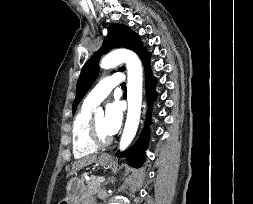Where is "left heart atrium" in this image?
I'll return each mask as SVG.
<instances>
[{"mask_svg":"<svg viewBox=\"0 0 253 204\" xmlns=\"http://www.w3.org/2000/svg\"><path fill=\"white\" fill-rule=\"evenodd\" d=\"M123 111L117 101L111 102L106 106L105 130L109 135L118 132L122 124Z\"/></svg>","mask_w":253,"mask_h":204,"instance_id":"39dd6f15","label":"left heart atrium"}]
</instances>
